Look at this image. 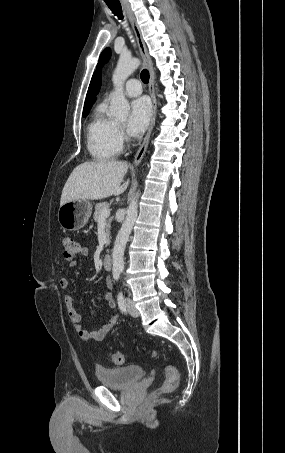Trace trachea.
<instances>
[{"mask_svg": "<svg viewBox=\"0 0 285 453\" xmlns=\"http://www.w3.org/2000/svg\"><path fill=\"white\" fill-rule=\"evenodd\" d=\"M106 4L115 16H117L120 20L123 19L121 4L118 0H112V2H106ZM141 80L145 84L149 82V71L147 69L142 70Z\"/></svg>", "mask_w": 285, "mask_h": 453, "instance_id": "trachea-1", "label": "trachea"}]
</instances>
